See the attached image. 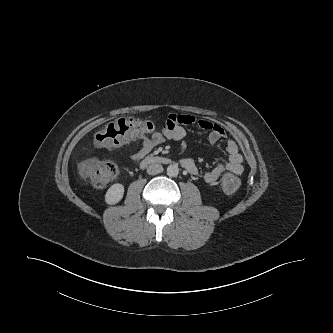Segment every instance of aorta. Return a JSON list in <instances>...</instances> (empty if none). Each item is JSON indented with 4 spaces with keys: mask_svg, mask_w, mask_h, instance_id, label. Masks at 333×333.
Here are the masks:
<instances>
[{
    "mask_svg": "<svg viewBox=\"0 0 333 333\" xmlns=\"http://www.w3.org/2000/svg\"><path fill=\"white\" fill-rule=\"evenodd\" d=\"M179 173V168L176 164H171L167 167V175L169 177H176Z\"/></svg>",
    "mask_w": 333,
    "mask_h": 333,
    "instance_id": "1",
    "label": "aorta"
}]
</instances>
